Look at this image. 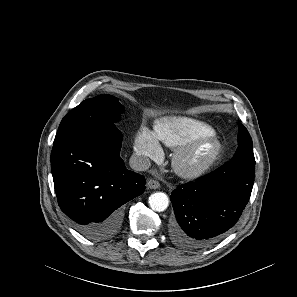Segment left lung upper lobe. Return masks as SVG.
Instances as JSON below:
<instances>
[{
  "label": "left lung upper lobe",
  "mask_w": 297,
  "mask_h": 297,
  "mask_svg": "<svg viewBox=\"0 0 297 297\" xmlns=\"http://www.w3.org/2000/svg\"><path fill=\"white\" fill-rule=\"evenodd\" d=\"M238 143V148L233 157H254L252 139L242 124H239Z\"/></svg>",
  "instance_id": "left-lung-upper-lobe-1"
}]
</instances>
